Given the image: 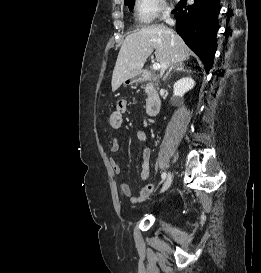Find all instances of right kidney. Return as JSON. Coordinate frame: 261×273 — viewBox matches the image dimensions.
<instances>
[{
    "instance_id": "obj_1",
    "label": "right kidney",
    "mask_w": 261,
    "mask_h": 273,
    "mask_svg": "<svg viewBox=\"0 0 261 273\" xmlns=\"http://www.w3.org/2000/svg\"><path fill=\"white\" fill-rule=\"evenodd\" d=\"M195 86V81L191 77H183L179 79L173 86V94L175 98L183 97V95Z\"/></svg>"
}]
</instances>
